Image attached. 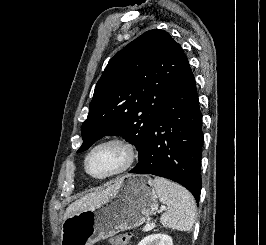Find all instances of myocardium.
<instances>
[{
  "instance_id": "obj_1",
  "label": "myocardium",
  "mask_w": 266,
  "mask_h": 245,
  "mask_svg": "<svg viewBox=\"0 0 266 245\" xmlns=\"http://www.w3.org/2000/svg\"><path fill=\"white\" fill-rule=\"evenodd\" d=\"M109 143L119 144L125 149L126 151L125 165L116 173H113L108 176L99 177V176H94L90 174L87 169V162H88L90 155L98 147L105 145V144H109ZM137 158H138V151L133 143H131L130 141L122 137H117V136L107 137V138H104L96 142L94 145H92L88 149L83 159V170H84V173L91 179L98 180V181H108V180L119 178L123 176L124 174L128 173L133 168Z\"/></svg>"
}]
</instances>
